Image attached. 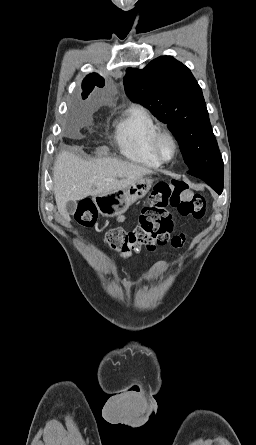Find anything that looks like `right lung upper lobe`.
I'll return each instance as SVG.
<instances>
[{
    "label": "right lung upper lobe",
    "instance_id": "cb5924a9",
    "mask_svg": "<svg viewBox=\"0 0 256 445\" xmlns=\"http://www.w3.org/2000/svg\"><path fill=\"white\" fill-rule=\"evenodd\" d=\"M95 86L103 87L104 79L96 73L86 76L82 82V99H86L88 94L94 89Z\"/></svg>",
    "mask_w": 256,
    "mask_h": 445
}]
</instances>
